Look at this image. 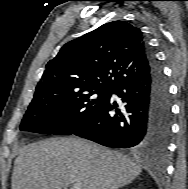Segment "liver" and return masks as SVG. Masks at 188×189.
Returning <instances> with one entry per match:
<instances>
[{
    "mask_svg": "<svg viewBox=\"0 0 188 189\" xmlns=\"http://www.w3.org/2000/svg\"><path fill=\"white\" fill-rule=\"evenodd\" d=\"M142 168L128 157L80 138H51L25 146L14 162L12 189H118Z\"/></svg>",
    "mask_w": 188,
    "mask_h": 189,
    "instance_id": "liver-1",
    "label": "liver"
}]
</instances>
